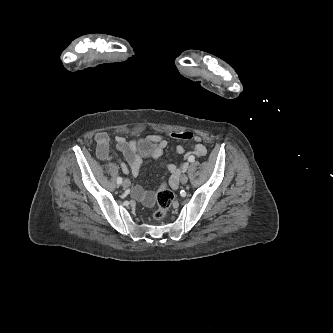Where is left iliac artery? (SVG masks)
<instances>
[{"mask_svg": "<svg viewBox=\"0 0 333 333\" xmlns=\"http://www.w3.org/2000/svg\"><path fill=\"white\" fill-rule=\"evenodd\" d=\"M191 161H193V159H192ZM186 170H187V168H184V170H183V171H186Z\"/></svg>", "mask_w": 333, "mask_h": 333, "instance_id": "left-iliac-artery-1", "label": "left iliac artery"}]
</instances>
